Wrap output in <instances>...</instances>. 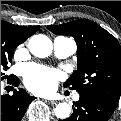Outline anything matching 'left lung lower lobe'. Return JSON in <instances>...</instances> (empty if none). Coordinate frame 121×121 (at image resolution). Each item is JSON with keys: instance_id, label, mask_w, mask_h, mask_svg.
I'll return each mask as SVG.
<instances>
[{"instance_id": "0a47b994", "label": "left lung lower lobe", "mask_w": 121, "mask_h": 121, "mask_svg": "<svg viewBox=\"0 0 121 121\" xmlns=\"http://www.w3.org/2000/svg\"><path fill=\"white\" fill-rule=\"evenodd\" d=\"M80 99L74 103L72 115L59 121H107L115 106L104 99L89 93H79Z\"/></svg>"}]
</instances>
